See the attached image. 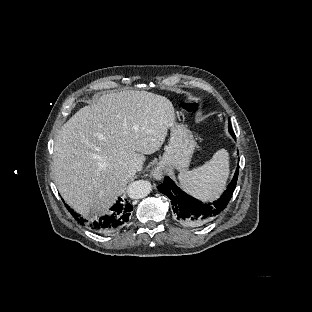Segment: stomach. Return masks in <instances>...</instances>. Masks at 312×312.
Here are the masks:
<instances>
[{"instance_id": "0dacf381", "label": "stomach", "mask_w": 312, "mask_h": 312, "mask_svg": "<svg viewBox=\"0 0 312 312\" xmlns=\"http://www.w3.org/2000/svg\"><path fill=\"white\" fill-rule=\"evenodd\" d=\"M170 139L159 166L167 171H184L190 165L196 148L192 132L182 123L174 122L169 126Z\"/></svg>"}]
</instances>
